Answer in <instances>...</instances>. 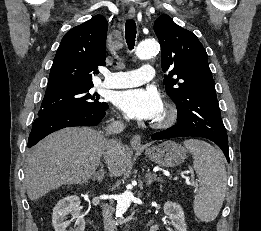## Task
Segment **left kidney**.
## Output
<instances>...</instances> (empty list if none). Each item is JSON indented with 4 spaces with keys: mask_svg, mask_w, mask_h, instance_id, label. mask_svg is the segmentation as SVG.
<instances>
[{
    "mask_svg": "<svg viewBox=\"0 0 261 231\" xmlns=\"http://www.w3.org/2000/svg\"><path fill=\"white\" fill-rule=\"evenodd\" d=\"M164 213L170 219V223L173 225L175 231H187L185 216L182 207L171 201H167L164 204ZM158 226H152L150 231H158ZM168 231H173L170 228H167Z\"/></svg>",
    "mask_w": 261,
    "mask_h": 231,
    "instance_id": "5707ae66",
    "label": "left kidney"
}]
</instances>
